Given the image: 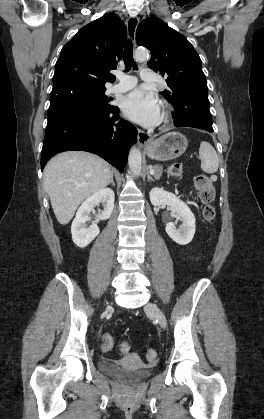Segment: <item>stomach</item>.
I'll return each instance as SVG.
<instances>
[{
	"instance_id": "0dacf381",
	"label": "stomach",
	"mask_w": 264,
	"mask_h": 419,
	"mask_svg": "<svg viewBox=\"0 0 264 419\" xmlns=\"http://www.w3.org/2000/svg\"><path fill=\"white\" fill-rule=\"evenodd\" d=\"M188 146L187 138L179 132L166 133L156 140H150L145 151L149 158L166 161L181 156Z\"/></svg>"
}]
</instances>
